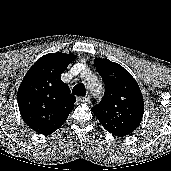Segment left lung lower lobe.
<instances>
[{"label":"left lung lower lobe","instance_id":"1","mask_svg":"<svg viewBox=\"0 0 171 171\" xmlns=\"http://www.w3.org/2000/svg\"><path fill=\"white\" fill-rule=\"evenodd\" d=\"M111 132V131H109ZM114 136H117V137H123V136H126L128 134H125V133H122V132H118V131H113L111 132Z\"/></svg>","mask_w":171,"mask_h":171}]
</instances>
